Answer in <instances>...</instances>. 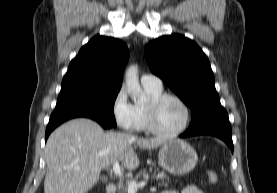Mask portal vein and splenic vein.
Instances as JSON below:
<instances>
[{"instance_id": "portal-vein-and-splenic-vein-1", "label": "portal vein and splenic vein", "mask_w": 277, "mask_h": 193, "mask_svg": "<svg viewBox=\"0 0 277 193\" xmlns=\"http://www.w3.org/2000/svg\"><path fill=\"white\" fill-rule=\"evenodd\" d=\"M112 170L120 178L123 177V172L120 169V165H119L118 161L114 162ZM146 184H147V180H144V181H141V182H136L134 180L128 181L127 182L128 192L129 193H136L139 187L145 186Z\"/></svg>"}]
</instances>
